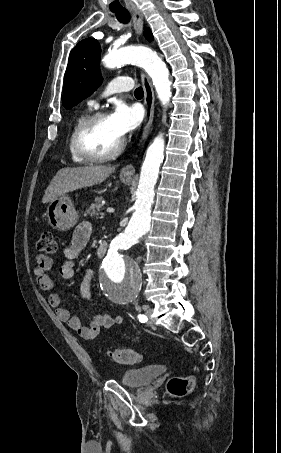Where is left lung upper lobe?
Returning a JSON list of instances; mask_svg holds the SVG:
<instances>
[{
  "instance_id": "obj_1",
  "label": "left lung upper lobe",
  "mask_w": 281,
  "mask_h": 453,
  "mask_svg": "<svg viewBox=\"0 0 281 453\" xmlns=\"http://www.w3.org/2000/svg\"><path fill=\"white\" fill-rule=\"evenodd\" d=\"M101 49L97 40L87 38L71 51L65 73L63 106L70 109L90 96L100 85Z\"/></svg>"
}]
</instances>
